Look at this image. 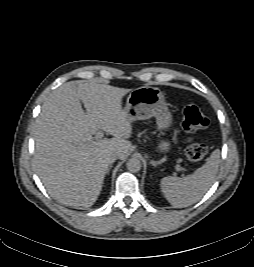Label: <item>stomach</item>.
Returning a JSON list of instances; mask_svg holds the SVG:
<instances>
[{
	"label": "stomach",
	"instance_id": "stomach-1",
	"mask_svg": "<svg viewBox=\"0 0 254 267\" xmlns=\"http://www.w3.org/2000/svg\"><path fill=\"white\" fill-rule=\"evenodd\" d=\"M124 110L130 120L156 118L158 129L164 134L173 124V116L168 109L163 92L157 87L142 86L132 90L126 101ZM171 148L168 140H160L157 144L159 153H167Z\"/></svg>",
	"mask_w": 254,
	"mask_h": 267
}]
</instances>
